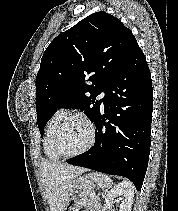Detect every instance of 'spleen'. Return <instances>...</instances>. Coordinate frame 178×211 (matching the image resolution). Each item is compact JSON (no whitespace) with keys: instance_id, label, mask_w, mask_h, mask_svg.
Segmentation results:
<instances>
[{"instance_id":"spleen-1","label":"spleen","mask_w":178,"mask_h":211,"mask_svg":"<svg viewBox=\"0 0 178 211\" xmlns=\"http://www.w3.org/2000/svg\"><path fill=\"white\" fill-rule=\"evenodd\" d=\"M88 176L91 180L96 182L99 186H103L105 188H110L113 185V181L106 174H102L99 172H93V173H90Z\"/></svg>"}]
</instances>
